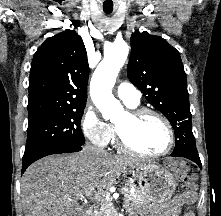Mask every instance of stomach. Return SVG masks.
Here are the masks:
<instances>
[{
	"label": "stomach",
	"instance_id": "stomach-1",
	"mask_svg": "<svg viewBox=\"0 0 221 216\" xmlns=\"http://www.w3.org/2000/svg\"><path fill=\"white\" fill-rule=\"evenodd\" d=\"M131 171L147 203L161 204L171 199L177 184L169 171L156 164L137 167Z\"/></svg>",
	"mask_w": 221,
	"mask_h": 216
}]
</instances>
